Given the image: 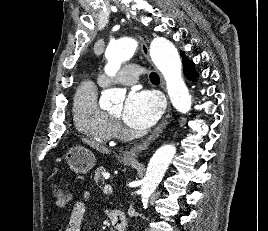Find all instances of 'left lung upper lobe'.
I'll use <instances>...</instances> for the list:
<instances>
[{
    "label": "left lung upper lobe",
    "instance_id": "left-lung-upper-lobe-1",
    "mask_svg": "<svg viewBox=\"0 0 268 231\" xmlns=\"http://www.w3.org/2000/svg\"><path fill=\"white\" fill-rule=\"evenodd\" d=\"M181 55H182V59L186 58V56L184 55V52H182Z\"/></svg>",
    "mask_w": 268,
    "mask_h": 231
}]
</instances>
